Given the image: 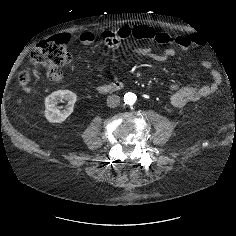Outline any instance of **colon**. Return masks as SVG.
<instances>
[{"label":"colon","instance_id":"obj_1","mask_svg":"<svg viewBox=\"0 0 236 236\" xmlns=\"http://www.w3.org/2000/svg\"><path fill=\"white\" fill-rule=\"evenodd\" d=\"M71 61V54L67 47V39L58 35L38 43L30 54V62L35 67L45 68L51 76L57 74L60 67ZM19 85L24 89H31L37 82L35 73L23 70L18 75Z\"/></svg>","mask_w":236,"mask_h":236}]
</instances>
